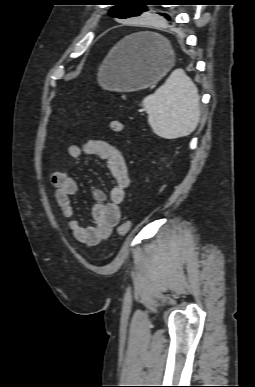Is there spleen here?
I'll list each match as a JSON object with an SVG mask.
<instances>
[{
    "label": "spleen",
    "mask_w": 255,
    "mask_h": 387,
    "mask_svg": "<svg viewBox=\"0 0 255 387\" xmlns=\"http://www.w3.org/2000/svg\"><path fill=\"white\" fill-rule=\"evenodd\" d=\"M142 105L154 133L165 139L189 135L200 120L198 89L182 69L174 70Z\"/></svg>",
    "instance_id": "3e777b00"
}]
</instances>
